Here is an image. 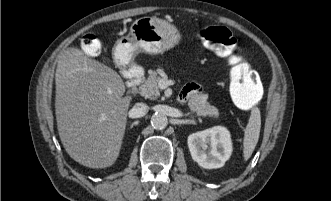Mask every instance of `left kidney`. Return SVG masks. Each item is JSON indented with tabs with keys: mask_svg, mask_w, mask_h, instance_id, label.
Returning <instances> with one entry per match:
<instances>
[{
	"mask_svg": "<svg viewBox=\"0 0 331 201\" xmlns=\"http://www.w3.org/2000/svg\"><path fill=\"white\" fill-rule=\"evenodd\" d=\"M187 143L192 159L205 169L224 166L232 153L230 132L222 126L190 134Z\"/></svg>",
	"mask_w": 331,
	"mask_h": 201,
	"instance_id": "5707ae66",
	"label": "left kidney"
}]
</instances>
